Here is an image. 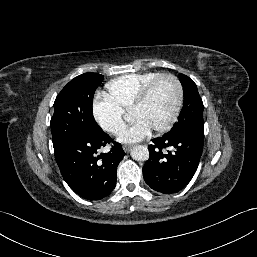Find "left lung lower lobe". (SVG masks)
<instances>
[{"label":"left lung lower lobe","instance_id":"left-lung-lower-lobe-1","mask_svg":"<svg viewBox=\"0 0 257 257\" xmlns=\"http://www.w3.org/2000/svg\"><path fill=\"white\" fill-rule=\"evenodd\" d=\"M204 132L190 130L155 138L143 167L146 183L155 191L171 194L183 189L194 176L203 151ZM170 148L172 150L165 151Z\"/></svg>","mask_w":257,"mask_h":257}]
</instances>
